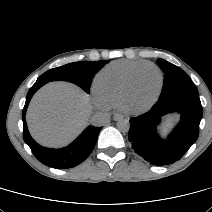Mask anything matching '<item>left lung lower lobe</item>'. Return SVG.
I'll use <instances>...</instances> for the list:
<instances>
[{
	"label": "left lung lower lobe",
	"mask_w": 212,
	"mask_h": 212,
	"mask_svg": "<svg viewBox=\"0 0 212 212\" xmlns=\"http://www.w3.org/2000/svg\"><path fill=\"white\" fill-rule=\"evenodd\" d=\"M178 112L181 121L167 139L157 133L161 117ZM203 110L199 96L186 93L159 98L146 113L130 119L128 139L134 151L152 165L178 161L197 140Z\"/></svg>",
	"instance_id": "obj_1"
}]
</instances>
